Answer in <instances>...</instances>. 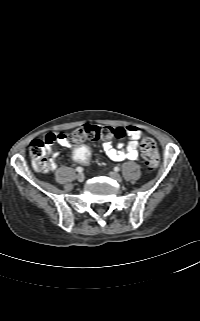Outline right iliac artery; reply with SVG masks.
I'll list each match as a JSON object with an SVG mask.
<instances>
[{"label":"right iliac artery","instance_id":"right-iliac-artery-1","mask_svg":"<svg viewBox=\"0 0 200 321\" xmlns=\"http://www.w3.org/2000/svg\"><path fill=\"white\" fill-rule=\"evenodd\" d=\"M76 171L81 173L83 171V168L82 167H77Z\"/></svg>","mask_w":200,"mask_h":321}]
</instances>
